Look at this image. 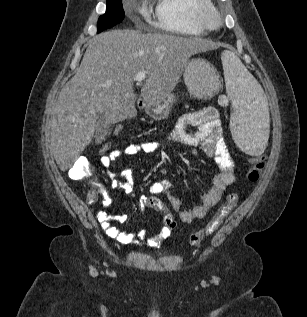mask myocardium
Returning <instances> with one entry per match:
<instances>
[{
  "instance_id": "f54148a6",
  "label": "myocardium",
  "mask_w": 307,
  "mask_h": 317,
  "mask_svg": "<svg viewBox=\"0 0 307 317\" xmlns=\"http://www.w3.org/2000/svg\"><path fill=\"white\" fill-rule=\"evenodd\" d=\"M196 18L199 25L206 31L218 29L223 21L220 11L212 3L200 6L196 11Z\"/></svg>"
}]
</instances>
